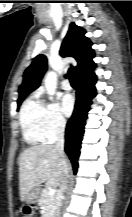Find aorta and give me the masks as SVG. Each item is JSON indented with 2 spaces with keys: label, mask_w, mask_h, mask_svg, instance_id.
<instances>
[{
  "label": "aorta",
  "mask_w": 132,
  "mask_h": 217,
  "mask_svg": "<svg viewBox=\"0 0 132 217\" xmlns=\"http://www.w3.org/2000/svg\"><path fill=\"white\" fill-rule=\"evenodd\" d=\"M45 88L47 94L50 96V100L53 99V95L57 89V74L54 71H50L45 76Z\"/></svg>",
  "instance_id": "aorta-1"
}]
</instances>
